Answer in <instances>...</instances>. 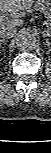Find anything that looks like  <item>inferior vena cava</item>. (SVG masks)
I'll return each mask as SVG.
<instances>
[{"label": "inferior vena cava", "instance_id": "inferior-vena-cava-1", "mask_svg": "<svg viewBox=\"0 0 51 153\" xmlns=\"http://www.w3.org/2000/svg\"><path fill=\"white\" fill-rule=\"evenodd\" d=\"M16 33V26L15 25H5L2 24L0 27V37L3 39H10Z\"/></svg>", "mask_w": 51, "mask_h": 153}]
</instances>
